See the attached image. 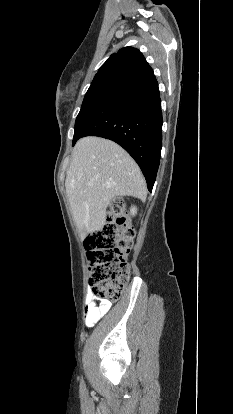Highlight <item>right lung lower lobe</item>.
<instances>
[{"mask_svg": "<svg viewBox=\"0 0 233 414\" xmlns=\"http://www.w3.org/2000/svg\"><path fill=\"white\" fill-rule=\"evenodd\" d=\"M123 93L90 110L80 123L76 141L99 136L122 146L141 168L152 191L162 147V111L154 74L132 80Z\"/></svg>", "mask_w": 233, "mask_h": 414, "instance_id": "right-lung-lower-lobe-1", "label": "right lung lower lobe"}]
</instances>
